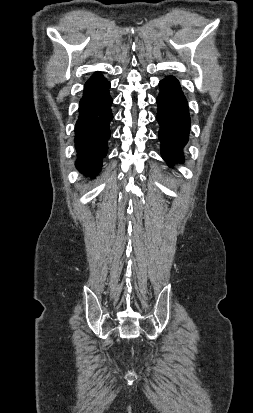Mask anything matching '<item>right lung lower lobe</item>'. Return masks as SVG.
Segmentation results:
<instances>
[{
	"mask_svg": "<svg viewBox=\"0 0 253 413\" xmlns=\"http://www.w3.org/2000/svg\"><path fill=\"white\" fill-rule=\"evenodd\" d=\"M109 88L110 83L96 73L86 82L79 102L74 138L77 152L75 164L85 176L97 175L107 154V141L111 134L109 123L113 118Z\"/></svg>",
	"mask_w": 253,
	"mask_h": 413,
	"instance_id": "1",
	"label": "right lung lower lobe"
}]
</instances>
